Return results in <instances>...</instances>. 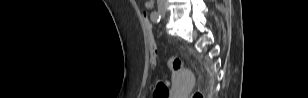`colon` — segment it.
<instances>
[{
  "label": "colon",
  "instance_id": "1",
  "mask_svg": "<svg viewBox=\"0 0 308 98\" xmlns=\"http://www.w3.org/2000/svg\"><path fill=\"white\" fill-rule=\"evenodd\" d=\"M141 15L144 16V29L148 33V45H149V53H150V60L153 64H155L157 59V46L155 42V38L153 35V31L155 29L154 24H151L150 17L148 16V10L142 9ZM168 67L170 70L177 72L183 68V62L181 59L177 57H171L168 59ZM154 98H168L169 96V84L165 81H159L154 87ZM191 98H204V95L200 91H196L192 94Z\"/></svg>",
  "mask_w": 308,
  "mask_h": 98
}]
</instances>
